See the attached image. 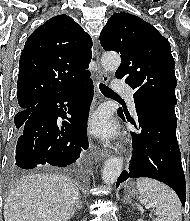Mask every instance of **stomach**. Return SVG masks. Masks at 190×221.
<instances>
[{"label": "stomach", "instance_id": "1", "mask_svg": "<svg viewBox=\"0 0 190 221\" xmlns=\"http://www.w3.org/2000/svg\"><path fill=\"white\" fill-rule=\"evenodd\" d=\"M125 190H126L127 193H129L131 195H138L140 193L137 186H135L134 183L127 184Z\"/></svg>", "mask_w": 190, "mask_h": 221}]
</instances>
